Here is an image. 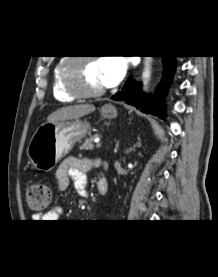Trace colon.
Instances as JSON below:
<instances>
[{
  "instance_id": "1",
  "label": "colon",
  "mask_w": 218,
  "mask_h": 277,
  "mask_svg": "<svg viewBox=\"0 0 218 277\" xmlns=\"http://www.w3.org/2000/svg\"><path fill=\"white\" fill-rule=\"evenodd\" d=\"M26 197L28 206L36 211L46 209L52 199L50 187L42 182H32L27 186Z\"/></svg>"
}]
</instances>
